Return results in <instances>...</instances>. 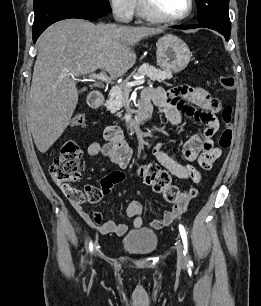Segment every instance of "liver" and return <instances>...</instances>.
<instances>
[{
	"instance_id": "6515ba94",
	"label": "liver",
	"mask_w": 261,
	"mask_h": 306,
	"mask_svg": "<svg viewBox=\"0 0 261 306\" xmlns=\"http://www.w3.org/2000/svg\"><path fill=\"white\" fill-rule=\"evenodd\" d=\"M160 33L157 28L95 25L82 19L47 28L37 41L28 100L27 125L38 150L48 151L70 123L78 103L77 77L97 69L113 78L123 76L136 62L133 46Z\"/></svg>"
}]
</instances>
